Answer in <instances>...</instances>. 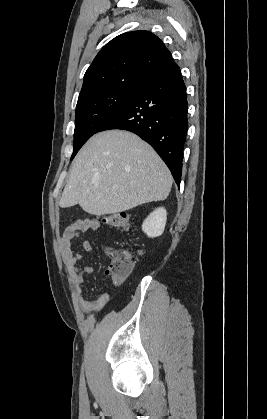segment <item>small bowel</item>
<instances>
[{
  "label": "small bowel",
  "instance_id": "1",
  "mask_svg": "<svg viewBox=\"0 0 267 419\" xmlns=\"http://www.w3.org/2000/svg\"><path fill=\"white\" fill-rule=\"evenodd\" d=\"M100 228V222L96 219H77L70 223L60 236V248L63 262L67 268L69 281L74 289V295L78 306L84 313H96L101 311L109 301V295L103 293L93 299H86L82 296V286L87 275L93 272L90 265H82V256L73 250V243L82 234L88 231H97ZM102 250L105 254L111 256L113 249L106 243L102 244ZM84 251H91L89 242H82ZM114 286H120L123 282L122 277L111 276Z\"/></svg>",
  "mask_w": 267,
  "mask_h": 419
}]
</instances>
